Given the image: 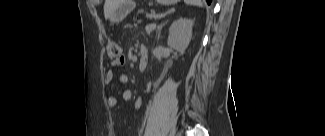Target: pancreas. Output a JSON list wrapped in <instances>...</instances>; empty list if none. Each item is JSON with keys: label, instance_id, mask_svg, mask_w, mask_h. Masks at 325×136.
<instances>
[{"label": "pancreas", "instance_id": "obj_1", "mask_svg": "<svg viewBox=\"0 0 325 136\" xmlns=\"http://www.w3.org/2000/svg\"><path fill=\"white\" fill-rule=\"evenodd\" d=\"M150 10L146 5H140L138 12H132V19H135L136 24H141L143 22V16H149Z\"/></svg>", "mask_w": 325, "mask_h": 136}]
</instances>
